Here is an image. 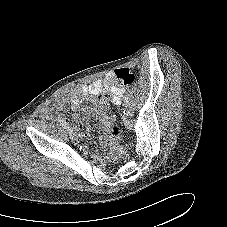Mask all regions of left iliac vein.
<instances>
[{
    "label": "left iliac vein",
    "instance_id": "1",
    "mask_svg": "<svg viewBox=\"0 0 227 227\" xmlns=\"http://www.w3.org/2000/svg\"><path fill=\"white\" fill-rule=\"evenodd\" d=\"M126 115L132 117L134 114L133 108L130 105L125 106Z\"/></svg>",
    "mask_w": 227,
    "mask_h": 227
}]
</instances>
